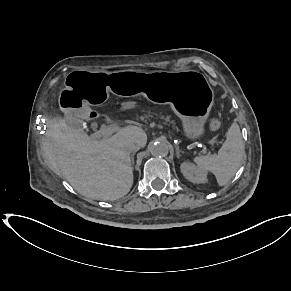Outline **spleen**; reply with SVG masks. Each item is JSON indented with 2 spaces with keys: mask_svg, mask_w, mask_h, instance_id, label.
Returning <instances> with one entry per match:
<instances>
[{
  "mask_svg": "<svg viewBox=\"0 0 291 291\" xmlns=\"http://www.w3.org/2000/svg\"><path fill=\"white\" fill-rule=\"evenodd\" d=\"M244 148L239 125L233 123L218 154L195 157L194 162L199 168L212 172L218 185L224 186L236 174L244 157Z\"/></svg>",
  "mask_w": 291,
  "mask_h": 291,
  "instance_id": "obj_1",
  "label": "spleen"
}]
</instances>
